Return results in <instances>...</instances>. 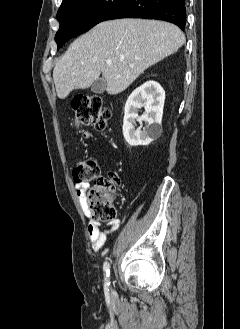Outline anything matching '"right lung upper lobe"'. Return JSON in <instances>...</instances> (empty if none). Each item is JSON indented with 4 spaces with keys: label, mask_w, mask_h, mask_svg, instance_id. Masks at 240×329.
I'll use <instances>...</instances> for the list:
<instances>
[{
    "label": "right lung upper lobe",
    "mask_w": 240,
    "mask_h": 329,
    "mask_svg": "<svg viewBox=\"0 0 240 329\" xmlns=\"http://www.w3.org/2000/svg\"><path fill=\"white\" fill-rule=\"evenodd\" d=\"M70 1H72V0H63V2H62V4H61V7L64 6V5H66V4L69 3Z\"/></svg>",
    "instance_id": "cb5924a9"
}]
</instances>
